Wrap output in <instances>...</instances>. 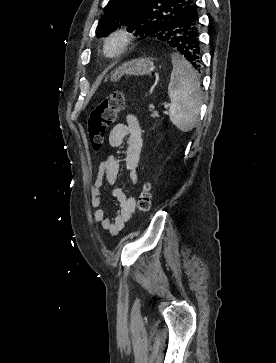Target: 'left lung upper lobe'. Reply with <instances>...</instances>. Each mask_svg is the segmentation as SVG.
Instances as JSON below:
<instances>
[{"mask_svg":"<svg viewBox=\"0 0 276 363\" xmlns=\"http://www.w3.org/2000/svg\"><path fill=\"white\" fill-rule=\"evenodd\" d=\"M193 3V0H110L96 34H109L117 29L116 21L122 19L121 24L129 25L128 31L136 29L142 37L161 40V36L172 31L179 12Z\"/></svg>","mask_w":276,"mask_h":363,"instance_id":"1","label":"left lung upper lobe"}]
</instances>
